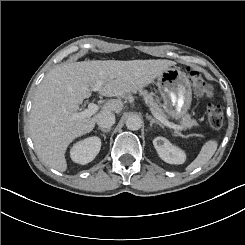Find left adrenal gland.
<instances>
[{
    "instance_id": "obj_1",
    "label": "left adrenal gland",
    "mask_w": 245,
    "mask_h": 245,
    "mask_svg": "<svg viewBox=\"0 0 245 245\" xmlns=\"http://www.w3.org/2000/svg\"><path fill=\"white\" fill-rule=\"evenodd\" d=\"M146 118H147L148 120H150V126H152L154 123H156V124H158L159 126L163 127V125H162L159 121L153 119L152 116L148 115V113H146Z\"/></svg>"
}]
</instances>
